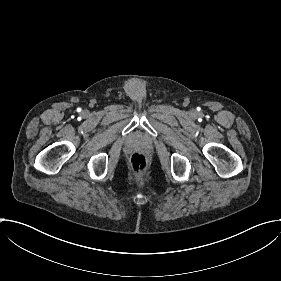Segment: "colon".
<instances>
[{"instance_id":"5ec220e1","label":"colon","mask_w":281,"mask_h":281,"mask_svg":"<svg viewBox=\"0 0 281 281\" xmlns=\"http://www.w3.org/2000/svg\"><path fill=\"white\" fill-rule=\"evenodd\" d=\"M128 166L131 172L137 177L145 175L149 170V162L141 153L132 154L129 158Z\"/></svg>"}]
</instances>
